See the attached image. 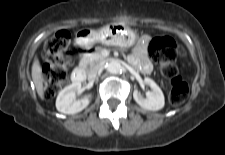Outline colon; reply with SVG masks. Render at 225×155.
I'll return each mask as SVG.
<instances>
[{"mask_svg": "<svg viewBox=\"0 0 225 155\" xmlns=\"http://www.w3.org/2000/svg\"><path fill=\"white\" fill-rule=\"evenodd\" d=\"M71 36L66 30H60L51 36L44 47V97L54 98L69 75ZM148 51L158 63L161 75L171 86L168 102L171 106L181 105L187 98L189 88L179 75V61L186 52L170 37H157L150 41Z\"/></svg>", "mask_w": 225, "mask_h": 155, "instance_id": "colon-1", "label": "colon"}]
</instances>
